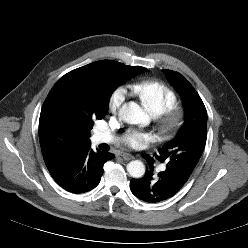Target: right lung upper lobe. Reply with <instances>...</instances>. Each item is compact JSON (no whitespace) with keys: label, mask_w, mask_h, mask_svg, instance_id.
Here are the masks:
<instances>
[{"label":"right lung upper lobe","mask_w":248,"mask_h":248,"mask_svg":"<svg viewBox=\"0 0 248 248\" xmlns=\"http://www.w3.org/2000/svg\"><path fill=\"white\" fill-rule=\"evenodd\" d=\"M100 62L111 64L114 61ZM52 92L53 90L50 91L42 106L39 119L40 145L48 170L55 168L77 150L91 145L89 133L79 122L64 118L51 110L48 101Z\"/></svg>","instance_id":"right-lung-upper-lobe-1"}]
</instances>
